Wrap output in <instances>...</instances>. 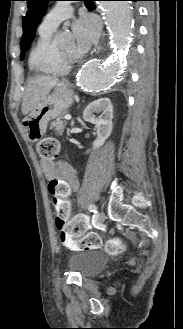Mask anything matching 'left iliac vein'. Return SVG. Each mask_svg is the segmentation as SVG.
I'll use <instances>...</instances> for the list:
<instances>
[{"label": "left iliac vein", "mask_w": 183, "mask_h": 329, "mask_svg": "<svg viewBox=\"0 0 183 329\" xmlns=\"http://www.w3.org/2000/svg\"><path fill=\"white\" fill-rule=\"evenodd\" d=\"M104 220H105V214L101 211L98 214V221L100 224H102L104 222Z\"/></svg>", "instance_id": "left-iliac-vein-1"}]
</instances>
